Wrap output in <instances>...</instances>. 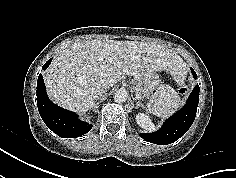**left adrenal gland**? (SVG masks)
I'll use <instances>...</instances> for the list:
<instances>
[{
	"label": "left adrenal gland",
	"mask_w": 236,
	"mask_h": 178,
	"mask_svg": "<svg viewBox=\"0 0 236 178\" xmlns=\"http://www.w3.org/2000/svg\"><path fill=\"white\" fill-rule=\"evenodd\" d=\"M140 106H143V104L140 102V101H137L136 102V108L140 107Z\"/></svg>",
	"instance_id": "left-adrenal-gland-1"
}]
</instances>
